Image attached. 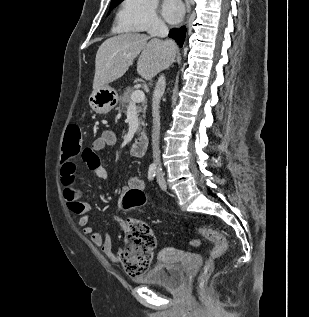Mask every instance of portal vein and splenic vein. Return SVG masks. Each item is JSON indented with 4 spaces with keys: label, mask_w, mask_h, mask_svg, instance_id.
<instances>
[{
    "label": "portal vein and splenic vein",
    "mask_w": 309,
    "mask_h": 317,
    "mask_svg": "<svg viewBox=\"0 0 309 317\" xmlns=\"http://www.w3.org/2000/svg\"><path fill=\"white\" fill-rule=\"evenodd\" d=\"M145 99V94L142 90H135L131 95V104L142 102Z\"/></svg>",
    "instance_id": "18ae733b"
}]
</instances>
